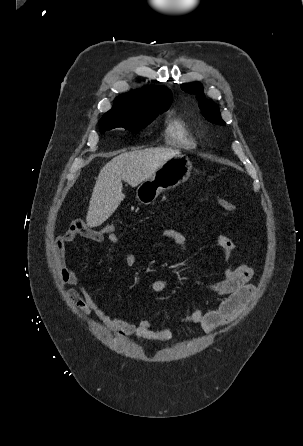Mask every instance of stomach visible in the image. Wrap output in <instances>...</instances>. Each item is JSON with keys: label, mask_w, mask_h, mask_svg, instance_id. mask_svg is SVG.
<instances>
[{"label": "stomach", "mask_w": 303, "mask_h": 446, "mask_svg": "<svg viewBox=\"0 0 303 446\" xmlns=\"http://www.w3.org/2000/svg\"><path fill=\"white\" fill-rule=\"evenodd\" d=\"M192 170V164L184 155H177L160 166L136 190V198L142 204L148 205L156 200L158 195L175 188L185 182Z\"/></svg>", "instance_id": "obj_1"}]
</instances>
